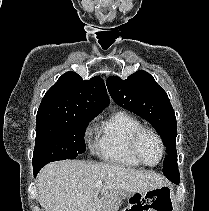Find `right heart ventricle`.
I'll list each match as a JSON object with an SVG mask.
<instances>
[{
  "label": "right heart ventricle",
  "mask_w": 209,
  "mask_h": 211,
  "mask_svg": "<svg viewBox=\"0 0 209 211\" xmlns=\"http://www.w3.org/2000/svg\"><path fill=\"white\" fill-rule=\"evenodd\" d=\"M140 121L125 111H116L100 121L96 127L93 151L105 162L136 168L141 164L130 149L134 131Z\"/></svg>",
  "instance_id": "1"
}]
</instances>
